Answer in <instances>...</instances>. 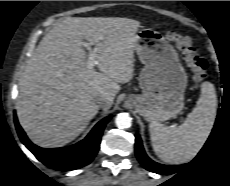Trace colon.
<instances>
[{"mask_svg":"<svg viewBox=\"0 0 230 186\" xmlns=\"http://www.w3.org/2000/svg\"><path fill=\"white\" fill-rule=\"evenodd\" d=\"M167 38L180 51L183 60L192 72L194 81L196 83L204 81L210 72L209 63L194 48L191 39L176 32H168Z\"/></svg>","mask_w":230,"mask_h":186,"instance_id":"1","label":"colon"}]
</instances>
